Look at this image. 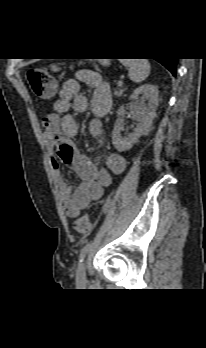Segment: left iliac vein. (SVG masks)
<instances>
[{
	"mask_svg": "<svg viewBox=\"0 0 206 348\" xmlns=\"http://www.w3.org/2000/svg\"><path fill=\"white\" fill-rule=\"evenodd\" d=\"M77 281L82 282L86 279V261H83L79 264L77 273H76Z\"/></svg>",
	"mask_w": 206,
	"mask_h": 348,
	"instance_id": "1",
	"label": "left iliac vein"
}]
</instances>
